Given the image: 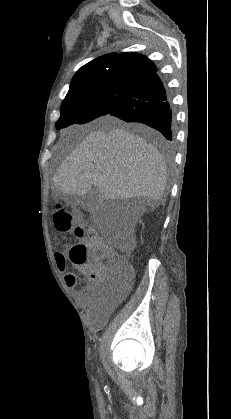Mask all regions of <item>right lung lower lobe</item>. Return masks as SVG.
Returning <instances> with one entry per match:
<instances>
[{
    "mask_svg": "<svg viewBox=\"0 0 231 419\" xmlns=\"http://www.w3.org/2000/svg\"><path fill=\"white\" fill-rule=\"evenodd\" d=\"M156 71L140 79L130 94L108 115L127 122L146 124L172 141L174 139L172 103Z\"/></svg>",
    "mask_w": 231,
    "mask_h": 419,
    "instance_id": "1",
    "label": "right lung lower lobe"
}]
</instances>
